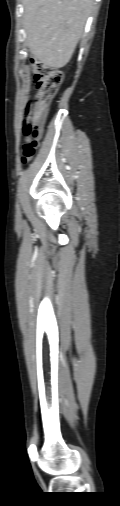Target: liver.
<instances>
[{
	"instance_id": "1",
	"label": "liver",
	"mask_w": 120,
	"mask_h": 506,
	"mask_svg": "<svg viewBox=\"0 0 120 506\" xmlns=\"http://www.w3.org/2000/svg\"><path fill=\"white\" fill-rule=\"evenodd\" d=\"M27 46L52 69L64 67L83 34L93 0H22Z\"/></svg>"
}]
</instances>
